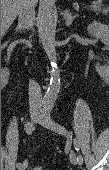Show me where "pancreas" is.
Returning <instances> with one entry per match:
<instances>
[{
  "label": "pancreas",
  "mask_w": 109,
  "mask_h": 170,
  "mask_svg": "<svg viewBox=\"0 0 109 170\" xmlns=\"http://www.w3.org/2000/svg\"><path fill=\"white\" fill-rule=\"evenodd\" d=\"M94 11H98L99 13H102L104 15H108L109 8L107 6H96V8H93Z\"/></svg>",
  "instance_id": "1"
}]
</instances>
